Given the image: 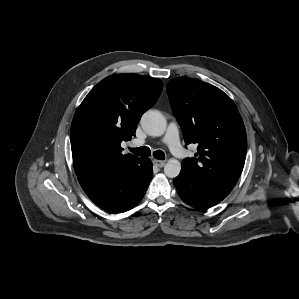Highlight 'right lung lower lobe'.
Returning a JSON list of instances; mask_svg holds the SVG:
<instances>
[{
  "label": "right lung lower lobe",
  "mask_w": 299,
  "mask_h": 299,
  "mask_svg": "<svg viewBox=\"0 0 299 299\" xmlns=\"http://www.w3.org/2000/svg\"><path fill=\"white\" fill-rule=\"evenodd\" d=\"M153 175L149 158H141L127 168L102 178H78L87 196L111 213L132 209L143 198Z\"/></svg>",
  "instance_id": "obj_1"
}]
</instances>
